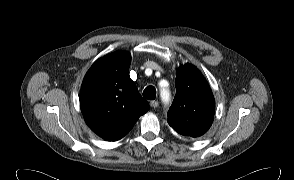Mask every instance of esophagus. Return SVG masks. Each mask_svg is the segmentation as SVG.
Listing matches in <instances>:
<instances>
[{"instance_id": "34e87169", "label": "esophagus", "mask_w": 294, "mask_h": 180, "mask_svg": "<svg viewBox=\"0 0 294 180\" xmlns=\"http://www.w3.org/2000/svg\"><path fill=\"white\" fill-rule=\"evenodd\" d=\"M158 105H159V102L157 100L150 101V106L152 108H157Z\"/></svg>"}]
</instances>
